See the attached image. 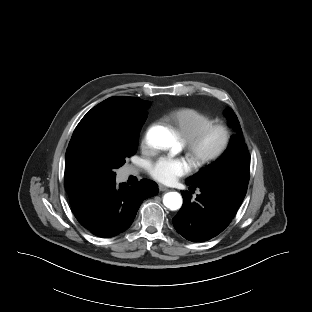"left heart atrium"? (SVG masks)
Here are the masks:
<instances>
[{
    "label": "left heart atrium",
    "instance_id": "39dd6f15",
    "mask_svg": "<svg viewBox=\"0 0 312 312\" xmlns=\"http://www.w3.org/2000/svg\"><path fill=\"white\" fill-rule=\"evenodd\" d=\"M191 171V163L180 157H161L149 168V173L158 182L171 184Z\"/></svg>",
    "mask_w": 312,
    "mask_h": 312
}]
</instances>
